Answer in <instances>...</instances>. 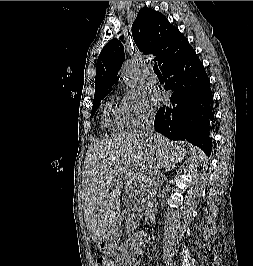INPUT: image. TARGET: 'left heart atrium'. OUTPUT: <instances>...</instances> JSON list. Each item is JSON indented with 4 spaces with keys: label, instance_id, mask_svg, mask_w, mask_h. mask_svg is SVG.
<instances>
[{
    "label": "left heart atrium",
    "instance_id": "39dd6f15",
    "mask_svg": "<svg viewBox=\"0 0 253 266\" xmlns=\"http://www.w3.org/2000/svg\"><path fill=\"white\" fill-rule=\"evenodd\" d=\"M151 98H152L154 103H158V102H160L162 100V96L158 92H152L151 93Z\"/></svg>",
    "mask_w": 253,
    "mask_h": 266
}]
</instances>
